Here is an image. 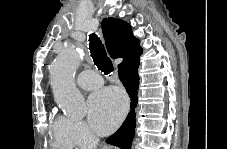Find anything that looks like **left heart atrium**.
I'll list each match as a JSON object with an SVG mask.
<instances>
[{
    "instance_id": "obj_1",
    "label": "left heart atrium",
    "mask_w": 227,
    "mask_h": 149,
    "mask_svg": "<svg viewBox=\"0 0 227 149\" xmlns=\"http://www.w3.org/2000/svg\"><path fill=\"white\" fill-rule=\"evenodd\" d=\"M89 123L98 134L111 132L122 120L127 100L122 91L104 88L89 98Z\"/></svg>"
}]
</instances>
